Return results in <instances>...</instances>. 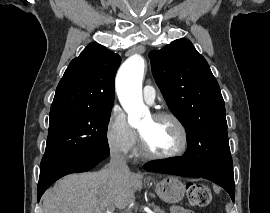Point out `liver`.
<instances>
[{
  "mask_svg": "<svg viewBox=\"0 0 270 213\" xmlns=\"http://www.w3.org/2000/svg\"><path fill=\"white\" fill-rule=\"evenodd\" d=\"M143 174H115L109 168L72 174L61 179L43 196V213H103L125 209L142 189Z\"/></svg>",
  "mask_w": 270,
  "mask_h": 213,
  "instance_id": "1",
  "label": "liver"
}]
</instances>
